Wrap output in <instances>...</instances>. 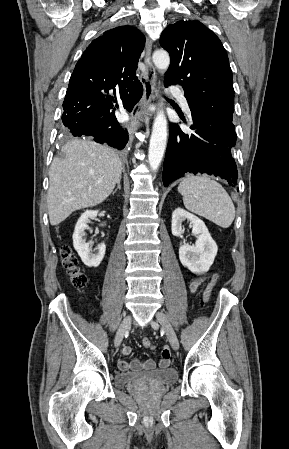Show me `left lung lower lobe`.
I'll return each mask as SVG.
<instances>
[{
  "label": "left lung lower lobe",
  "instance_id": "left-lung-lower-lobe-1",
  "mask_svg": "<svg viewBox=\"0 0 289 449\" xmlns=\"http://www.w3.org/2000/svg\"><path fill=\"white\" fill-rule=\"evenodd\" d=\"M170 84L173 83L165 81L166 86ZM185 97L192 113L189 125L192 132L185 133L171 123L162 176L164 186L188 173H206L227 180L231 186L237 185V166L232 157L236 133L232 121L192 104L187 94Z\"/></svg>",
  "mask_w": 289,
  "mask_h": 449
}]
</instances>
